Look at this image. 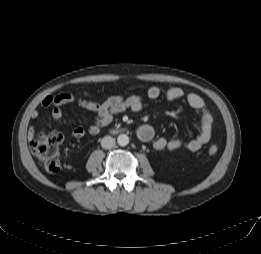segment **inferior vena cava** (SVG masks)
Wrapping results in <instances>:
<instances>
[{
    "label": "inferior vena cava",
    "mask_w": 261,
    "mask_h": 254,
    "mask_svg": "<svg viewBox=\"0 0 261 254\" xmlns=\"http://www.w3.org/2000/svg\"><path fill=\"white\" fill-rule=\"evenodd\" d=\"M101 146L104 149H111L115 146V139L111 136H105L101 140Z\"/></svg>",
    "instance_id": "inferior-vena-cava-1"
}]
</instances>
